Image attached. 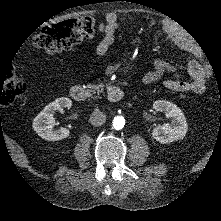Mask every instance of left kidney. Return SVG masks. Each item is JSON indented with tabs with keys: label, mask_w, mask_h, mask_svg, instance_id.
Returning a JSON list of instances; mask_svg holds the SVG:
<instances>
[{
	"label": "left kidney",
	"mask_w": 221,
	"mask_h": 221,
	"mask_svg": "<svg viewBox=\"0 0 221 221\" xmlns=\"http://www.w3.org/2000/svg\"><path fill=\"white\" fill-rule=\"evenodd\" d=\"M155 112H168L167 117L172 118L171 123L155 125L152 131L153 137L161 143H170L181 139L187 132V121L183 111L174 103L166 100H157L153 103Z\"/></svg>",
	"instance_id": "1"
}]
</instances>
